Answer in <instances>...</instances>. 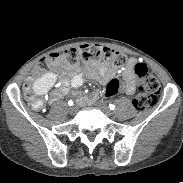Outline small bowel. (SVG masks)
Returning a JSON list of instances; mask_svg holds the SVG:
<instances>
[{
    "label": "small bowel",
    "instance_id": "obj_1",
    "mask_svg": "<svg viewBox=\"0 0 183 183\" xmlns=\"http://www.w3.org/2000/svg\"><path fill=\"white\" fill-rule=\"evenodd\" d=\"M136 63L137 62L135 59H131L123 70L124 83H121L120 91H124L128 95L133 94L137 86L138 76L134 71V65ZM115 75L116 70L105 64L96 65L95 68L91 71L83 70L81 73L75 74L68 83H62L59 88L52 94L51 100L55 101L62 98L69 93L70 88L77 89L81 87L84 82L85 76H88L92 80L99 83L106 84L109 83Z\"/></svg>",
    "mask_w": 183,
    "mask_h": 183
}]
</instances>
